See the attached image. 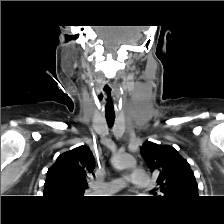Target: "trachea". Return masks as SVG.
I'll return each instance as SVG.
<instances>
[{
    "instance_id": "obj_1",
    "label": "trachea",
    "mask_w": 224,
    "mask_h": 224,
    "mask_svg": "<svg viewBox=\"0 0 224 224\" xmlns=\"http://www.w3.org/2000/svg\"><path fill=\"white\" fill-rule=\"evenodd\" d=\"M108 126L111 128L114 124L115 116H105Z\"/></svg>"
}]
</instances>
